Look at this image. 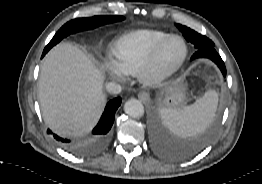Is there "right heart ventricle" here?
I'll return each instance as SVG.
<instances>
[{
  "label": "right heart ventricle",
  "mask_w": 262,
  "mask_h": 184,
  "mask_svg": "<svg viewBox=\"0 0 262 184\" xmlns=\"http://www.w3.org/2000/svg\"><path fill=\"white\" fill-rule=\"evenodd\" d=\"M170 34L157 30H134L120 36L113 46L116 63L126 74L137 73L150 53Z\"/></svg>",
  "instance_id": "1"
}]
</instances>
